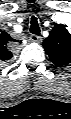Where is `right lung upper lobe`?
I'll return each instance as SVG.
<instances>
[{
  "instance_id": "right-lung-upper-lobe-1",
  "label": "right lung upper lobe",
  "mask_w": 71,
  "mask_h": 119,
  "mask_svg": "<svg viewBox=\"0 0 71 119\" xmlns=\"http://www.w3.org/2000/svg\"><path fill=\"white\" fill-rule=\"evenodd\" d=\"M11 41L9 34L2 32L0 34V59L9 60L12 58V53L8 50L7 44Z\"/></svg>"
}]
</instances>
